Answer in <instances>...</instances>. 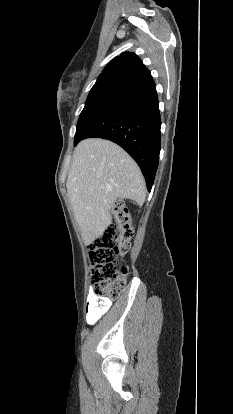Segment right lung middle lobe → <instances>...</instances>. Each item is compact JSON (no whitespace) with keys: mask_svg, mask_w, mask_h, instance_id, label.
<instances>
[{"mask_svg":"<svg viewBox=\"0 0 233 414\" xmlns=\"http://www.w3.org/2000/svg\"><path fill=\"white\" fill-rule=\"evenodd\" d=\"M133 80L125 79L119 76H106L98 78L87 97L85 107L80 114L77 128L86 116V114L96 105L104 100L119 94L130 87Z\"/></svg>","mask_w":233,"mask_h":414,"instance_id":"obj_1","label":"right lung middle lobe"}]
</instances>
